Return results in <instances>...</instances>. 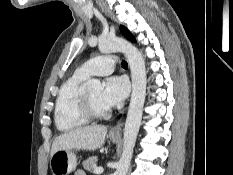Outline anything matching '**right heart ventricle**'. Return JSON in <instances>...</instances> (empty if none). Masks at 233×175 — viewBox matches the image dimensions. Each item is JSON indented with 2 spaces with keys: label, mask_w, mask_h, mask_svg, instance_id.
<instances>
[{
  "label": "right heart ventricle",
  "mask_w": 233,
  "mask_h": 175,
  "mask_svg": "<svg viewBox=\"0 0 233 175\" xmlns=\"http://www.w3.org/2000/svg\"><path fill=\"white\" fill-rule=\"evenodd\" d=\"M85 79L86 77L75 73L60 87L54 108V122L59 131L69 132L88 124L89 120L78 110Z\"/></svg>",
  "instance_id": "e07e8e85"
}]
</instances>
